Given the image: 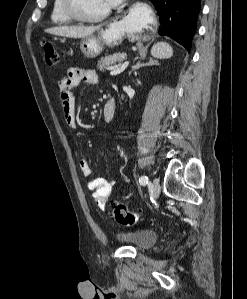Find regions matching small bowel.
I'll return each instance as SVG.
<instances>
[{
    "label": "small bowel",
    "instance_id": "small-bowel-1",
    "mask_svg": "<svg viewBox=\"0 0 247 299\" xmlns=\"http://www.w3.org/2000/svg\"><path fill=\"white\" fill-rule=\"evenodd\" d=\"M98 80L99 78L95 71L76 68L68 69L65 76L57 79L64 119L70 128H77L75 89L82 83L96 84ZM79 166L84 176L91 175V166L87 160H81ZM114 185L115 182L113 180L103 177L95 178L88 183V188L93 192V198L98 208L102 210L106 208Z\"/></svg>",
    "mask_w": 247,
    "mask_h": 299
}]
</instances>
